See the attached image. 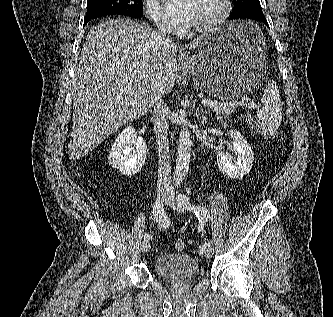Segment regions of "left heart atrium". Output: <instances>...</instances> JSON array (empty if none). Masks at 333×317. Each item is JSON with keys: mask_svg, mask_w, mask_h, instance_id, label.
Instances as JSON below:
<instances>
[{"mask_svg": "<svg viewBox=\"0 0 333 317\" xmlns=\"http://www.w3.org/2000/svg\"><path fill=\"white\" fill-rule=\"evenodd\" d=\"M199 0H165L164 9L169 18L180 25H190L196 19Z\"/></svg>", "mask_w": 333, "mask_h": 317, "instance_id": "1", "label": "left heart atrium"}]
</instances>
